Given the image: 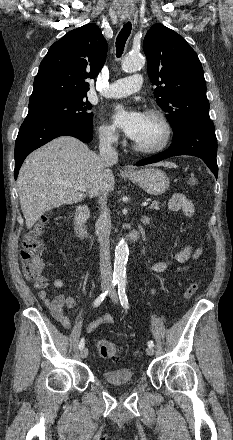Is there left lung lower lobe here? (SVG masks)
Instances as JSON below:
<instances>
[{
    "label": "left lung lower lobe",
    "instance_id": "0a47b994",
    "mask_svg": "<svg viewBox=\"0 0 233 440\" xmlns=\"http://www.w3.org/2000/svg\"><path fill=\"white\" fill-rule=\"evenodd\" d=\"M178 155L201 158L217 178V139L213 122L211 120L192 122L179 137L172 140L171 146L165 152L141 160L136 165L142 166Z\"/></svg>",
    "mask_w": 233,
    "mask_h": 440
}]
</instances>
